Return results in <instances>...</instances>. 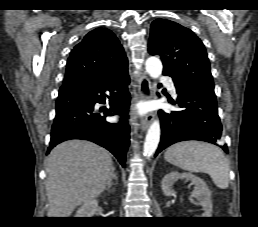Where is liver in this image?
I'll return each mask as SVG.
<instances>
[{"mask_svg":"<svg viewBox=\"0 0 258 227\" xmlns=\"http://www.w3.org/2000/svg\"><path fill=\"white\" fill-rule=\"evenodd\" d=\"M48 217H69L75 208L99 196L112 176L107 150L84 140L57 145L46 160Z\"/></svg>","mask_w":258,"mask_h":227,"instance_id":"liver-1","label":"liver"}]
</instances>
